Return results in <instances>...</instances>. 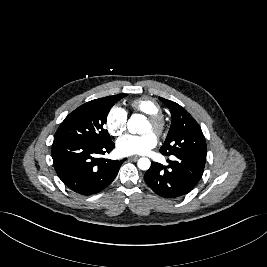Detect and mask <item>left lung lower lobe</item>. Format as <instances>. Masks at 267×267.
Instances as JSON below:
<instances>
[{"instance_id": "obj_1", "label": "left lung lower lobe", "mask_w": 267, "mask_h": 267, "mask_svg": "<svg viewBox=\"0 0 267 267\" xmlns=\"http://www.w3.org/2000/svg\"><path fill=\"white\" fill-rule=\"evenodd\" d=\"M169 165L152 162L144 175L146 184L159 196L174 199L189 193L203 175L206 160L188 156L173 155Z\"/></svg>"}]
</instances>
